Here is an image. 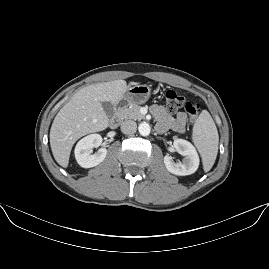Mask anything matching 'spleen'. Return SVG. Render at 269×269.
<instances>
[{"instance_id": "obj_1", "label": "spleen", "mask_w": 269, "mask_h": 269, "mask_svg": "<svg viewBox=\"0 0 269 269\" xmlns=\"http://www.w3.org/2000/svg\"><path fill=\"white\" fill-rule=\"evenodd\" d=\"M192 139L201 155L204 171H210L217 157L219 135L207 110H203L197 118L193 126Z\"/></svg>"}]
</instances>
